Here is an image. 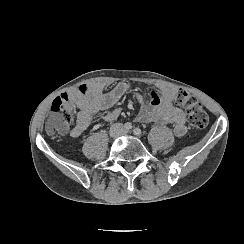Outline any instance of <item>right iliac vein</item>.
Instances as JSON below:
<instances>
[{
  "instance_id": "1",
  "label": "right iliac vein",
  "mask_w": 244,
  "mask_h": 244,
  "mask_svg": "<svg viewBox=\"0 0 244 244\" xmlns=\"http://www.w3.org/2000/svg\"><path fill=\"white\" fill-rule=\"evenodd\" d=\"M110 135H111L112 137H116L117 132H116V129H115V128H112V129L110 130Z\"/></svg>"
}]
</instances>
